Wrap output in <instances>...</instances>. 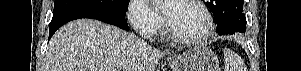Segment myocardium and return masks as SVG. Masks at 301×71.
<instances>
[{"label":"myocardium","instance_id":"obj_1","mask_svg":"<svg viewBox=\"0 0 301 71\" xmlns=\"http://www.w3.org/2000/svg\"><path fill=\"white\" fill-rule=\"evenodd\" d=\"M181 1L187 2V3L195 6L202 12V14L204 15V17L206 19V27L200 35L186 37V36H182V35L176 33L169 25L167 19H165L164 24H165L166 34L172 40H174L178 43H182V44L196 45V44H201V43L205 42L212 35L213 30H214V20H213L211 13L205 7V5L203 3H201L200 1H195V0H181Z\"/></svg>","mask_w":301,"mask_h":71}]
</instances>
